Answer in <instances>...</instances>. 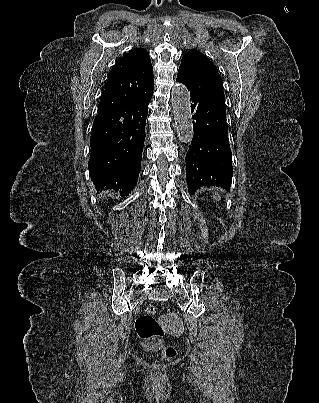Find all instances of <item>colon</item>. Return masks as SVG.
<instances>
[{
	"mask_svg": "<svg viewBox=\"0 0 319 403\" xmlns=\"http://www.w3.org/2000/svg\"><path fill=\"white\" fill-rule=\"evenodd\" d=\"M155 313L156 308L148 306L135 322L138 336L145 341L156 340L164 335V329L155 318ZM159 352L162 358L168 361L174 360L177 355L176 349L170 345L162 346Z\"/></svg>",
	"mask_w": 319,
	"mask_h": 403,
	"instance_id": "1",
	"label": "colon"
}]
</instances>
